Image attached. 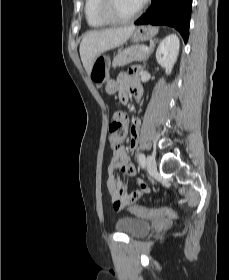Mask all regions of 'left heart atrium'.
<instances>
[{"label": "left heart atrium", "mask_w": 229, "mask_h": 280, "mask_svg": "<svg viewBox=\"0 0 229 280\" xmlns=\"http://www.w3.org/2000/svg\"><path fill=\"white\" fill-rule=\"evenodd\" d=\"M137 1H138V5L141 6V5L144 4V2H145L146 0H137Z\"/></svg>", "instance_id": "left-heart-atrium-1"}]
</instances>
